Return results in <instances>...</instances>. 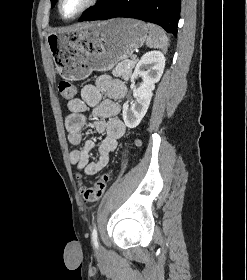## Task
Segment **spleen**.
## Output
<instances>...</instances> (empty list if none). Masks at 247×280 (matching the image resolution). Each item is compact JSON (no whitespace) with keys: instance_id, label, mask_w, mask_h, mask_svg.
<instances>
[{"instance_id":"spleen-1","label":"spleen","mask_w":247,"mask_h":280,"mask_svg":"<svg viewBox=\"0 0 247 280\" xmlns=\"http://www.w3.org/2000/svg\"><path fill=\"white\" fill-rule=\"evenodd\" d=\"M147 28L149 29V36L146 41L147 46L166 51L168 47V38L163 29L152 23H148Z\"/></svg>"}]
</instances>
